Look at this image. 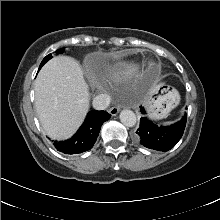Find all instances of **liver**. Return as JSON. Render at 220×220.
Returning a JSON list of instances; mask_svg holds the SVG:
<instances>
[{
	"instance_id": "1",
	"label": "liver",
	"mask_w": 220,
	"mask_h": 220,
	"mask_svg": "<svg viewBox=\"0 0 220 220\" xmlns=\"http://www.w3.org/2000/svg\"><path fill=\"white\" fill-rule=\"evenodd\" d=\"M35 106L49 137L67 139L76 132L89 109V91L75 59L57 56L42 67L35 81Z\"/></svg>"
}]
</instances>
